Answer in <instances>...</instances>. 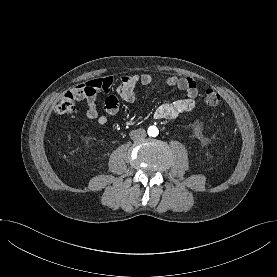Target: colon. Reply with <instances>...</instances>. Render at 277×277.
Masks as SVG:
<instances>
[{
  "instance_id": "colon-1",
  "label": "colon",
  "mask_w": 277,
  "mask_h": 277,
  "mask_svg": "<svg viewBox=\"0 0 277 277\" xmlns=\"http://www.w3.org/2000/svg\"><path fill=\"white\" fill-rule=\"evenodd\" d=\"M85 90L78 86L68 91L56 106V112L59 114H72L75 111V102L82 97ZM205 102L209 106H216L220 101L219 94L213 89L205 91Z\"/></svg>"
}]
</instances>
